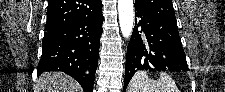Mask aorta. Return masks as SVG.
<instances>
[{
	"label": "aorta",
	"mask_w": 225,
	"mask_h": 92,
	"mask_svg": "<svg viewBox=\"0 0 225 92\" xmlns=\"http://www.w3.org/2000/svg\"><path fill=\"white\" fill-rule=\"evenodd\" d=\"M119 23L123 37L129 38L133 31V0H118Z\"/></svg>",
	"instance_id": "obj_1"
}]
</instances>
